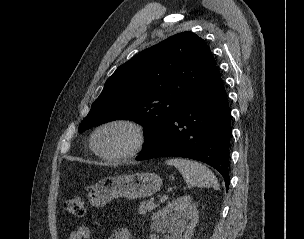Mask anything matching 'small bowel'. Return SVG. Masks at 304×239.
<instances>
[{
    "instance_id": "c3829d8e",
    "label": "small bowel",
    "mask_w": 304,
    "mask_h": 239,
    "mask_svg": "<svg viewBox=\"0 0 304 239\" xmlns=\"http://www.w3.org/2000/svg\"><path fill=\"white\" fill-rule=\"evenodd\" d=\"M91 232L88 227L80 226L76 230L72 231L68 239H90ZM131 233L126 228H120L115 230L107 239H130Z\"/></svg>"
}]
</instances>
